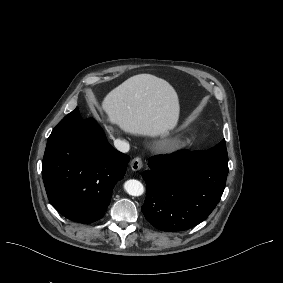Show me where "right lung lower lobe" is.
<instances>
[{"label":"right lung lower lobe","mask_w":283,"mask_h":283,"mask_svg":"<svg viewBox=\"0 0 283 283\" xmlns=\"http://www.w3.org/2000/svg\"><path fill=\"white\" fill-rule=\"evenodd\" d=\"M128 162L129 156L108 143L93 118L84 121L74 110L47 141L42 176L48 199L66 218L92 223L103 217Z\"/></svg>","instance_id":"obj_1"}]
</instances>
